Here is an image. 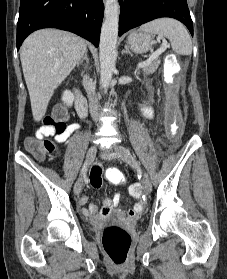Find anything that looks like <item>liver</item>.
Returning a JSON list of instances; mask_svg holds the SVG:
<instances>
[{"mask_svg":"<svg viewBox=\"0 0 227 279\" xmlns=\"http://www.w3.org/2000/svg\"><path fill=\"white\" fill-rule=\"evenodd\" d=\"M86 50L84 39L57 29L38 30L25 39L20 59L35 121L45 116L55 89L71 73Z\"/></svg>","mask_w":227,"mask_h":279,"instance_id":"1","label":"liver"}]
</instances>
